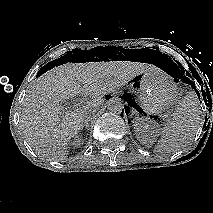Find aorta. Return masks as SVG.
I'll list each match as a JSON object with an SVG mask.
<instances>
[{
	"mask_svg": "<svg viewBox=\"0 0 213 213\" xmlns=\"http://www.w3.org/2000/svg\"><path fill=\"white\" fill-rule=\"evenodd\" d=\"M107 110L114 114H120L124 109L123 101L120 98L113 97L107 101Z\"/></svg>",
	"mask_w": 213,
	"mask_h": 213,
	"instance_id": "aorta-1",
	"label": "aorta"
}]
</instances>
